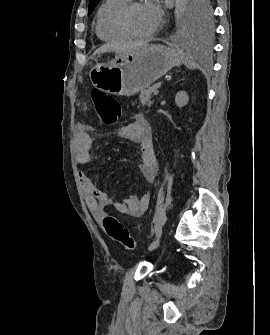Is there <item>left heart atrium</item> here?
Listing matches in <instances>:
<instances>
[{"label":"left heart atrium","instance_id":"left-heart-atrium-1","mask_svg":"<svg viewBox=\"0 0 270 335\" xmlns=\"http://www.w3.org/2000/svg\"><path fill=\"white\" fill-rule=\"evenodd\" d=\"M142 12L146 22V33H152L163 24V14L157 6L146 4L142 7Z\"/></svg>","mask_w":270,"mask_h":335}]
</instances>
